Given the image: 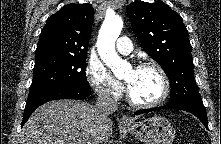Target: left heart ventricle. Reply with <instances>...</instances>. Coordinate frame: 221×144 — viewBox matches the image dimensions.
Segmentation results:
<instances>
[{
  "instance_id": "b2bd125f",
  "label": "left heart ventricle",
  "mask_w": 221,
  "mask_h": 144,
  "mask_svg": "<svg viewBox=\"0 0 221 144\" xmlns=\"http://www.w3.org/2000/svg\"><path fill=\"white\" fill-rule=\"evenodd\" d=\"M124 80L133 97L139 102H152L161 95L162 80L153 68L129 69Z\"/></svg>"
}]
</instances>
